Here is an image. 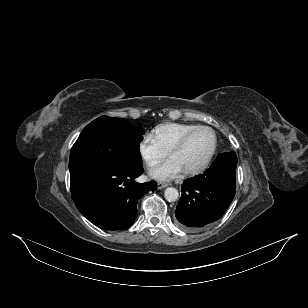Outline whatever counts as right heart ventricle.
I'll return each mask as SVG.
<instances>
[{
	"instance_id": "1",
	"label": "right heart ventricle",
	"mask_w": 308,
	"mask_h": 308,
	"mask_svg": "<svg viewBox=\"0 0 308 308\" xmlns=\"http://www.w3.org/2000/svg\"><path fill=\"white\" fill-rule=\"evenodd\" d=\"M198 124L192 123H164L153 129V136L159 145L166 150L169 149L188 131L198 127Z\"/></svg>"
}]
</instances>
